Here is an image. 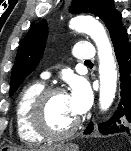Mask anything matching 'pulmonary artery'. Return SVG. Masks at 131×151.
Instances as JSON below:
<instances>
[{"instance_id":"pulmonary-artery-1","label":"pulmonary artery","mask_w":131,"mask_h":151,"mask_svg":"<svg viewBox=\"0 0 131 151\" xmlns=\"http://www.w3.org/2000/svg\"><path fill=\"white\" fill-rule=\"evenodd\" d=\"M73 56L82 62L91 61L95 57V50L91 43L86 41L77 42L72 48ZM48 73L43 74V78H48Z\"/></svg>"}]
</instances>
